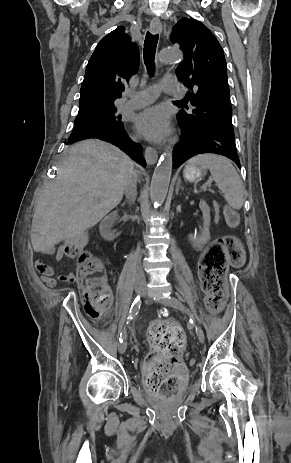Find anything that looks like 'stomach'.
<instances>
[{"instance_id": "0dacf381", "label": "stomach", "mask_w": 291, "mask_h": 463, "mask_svg": "<svg viewBox=\"0 0 291 463\" xmlns=\"http://www.w3.org/2000/svg\"><path fill=\"white\" fill-rule=\"evenodd\" d=\"M204 169L205 168L201 165L188 164L183 171L184 179L189 182L197 181L204 175Z\"/></svg>"}]
</instances>
